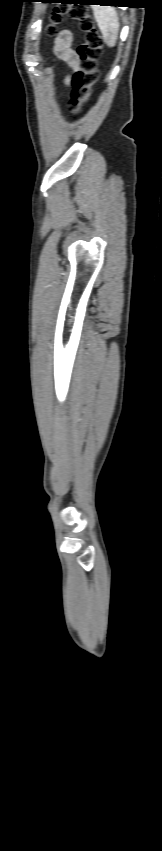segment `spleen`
<instances>
[{
    "mask_svg": "<svg viewBox=\"0 0 162 851\" xmlns=\"http://www.w3.org/2000/svg\"><path fill=\"white\" fill-rule=\"evenodd\" d=\"M92 9L94 18L103 35L105 43L109 47H114L120 27L119 18L115 8L108 6L102 7L98 5L93 6Z\"/></svg>",
    "mask_w": 162,
    "mask_h": 851,
    "instance_id": "3e777b00",
    "label": "spleen"
}]
</instances>
